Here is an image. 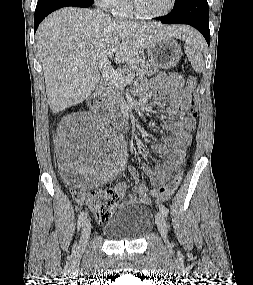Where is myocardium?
<instances>
[{"label": "myocardium", "instance_id": "1", "mask_svg": "<svg viewBox=\"0 0 253 285\" xmlns=\"http://www.w3.org/2000/svg\"><path fill=\"white\" fill-rule=\"evenodd\" d=\"M128 2H129L130 9L133 12L135 17L141 18V19H157V18H161L171 13L176 6L177 0H171V4L168 7V9H166L165 11L161 13H157V14H149V13L143 12L138 5V0H128Z\"/></svg>", "mask_w": 253, "mask_h": 285}]
</instances>
